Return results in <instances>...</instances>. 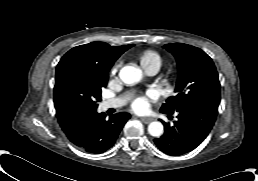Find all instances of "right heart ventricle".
<instances>
[{"label":"right heart ventricle","mask_w":258,"mask_h":181,"mask_svg":"<svg viewBox=\"0 0 258 181\" xmlns=\"http://www.w3.org/2000/svg\"><path fill=\"white\" fill-rule=\"evenodd\" d=\"M138 59L146 72L154 68L160 69L163 63L162 56L152 49L144 50L140 53Z\"/></svg>","instance_id":"right-heart-ventricle-1"}]
</instances>
